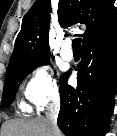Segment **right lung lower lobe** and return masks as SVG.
Wrapping results in <instances>:
<instances>
[{
  "instance_id": "98d812e1",
  "label": "right lung lower lobe",
  "mask_w": 117,
  "mask_h": 136,
  "mask_svg": "<svg viewBox=\"0 0 117 136\" xmlns=\"http://www.w3.org/2000/svg\"><path fill=\"white\" fill-rule=\"evenodd\" d=\"M77 87L60 79L57 125L65 136H104L117 94V24L83 42Z\"/></svg>"
}]
</instances>
